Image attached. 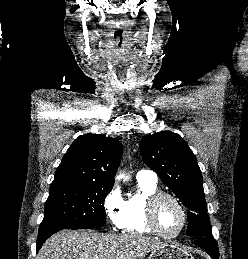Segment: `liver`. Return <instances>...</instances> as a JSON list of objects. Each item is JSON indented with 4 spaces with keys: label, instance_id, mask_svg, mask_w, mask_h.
I'll list each match as a JSON object with an SVG mask.
<instances>
[{
    "label": "liver",
    "instance_id": "liver-1",
    "mask_svg": "<svg viewBox=\"0 0 248 259\" xmlns=\"http://www.w3.org/2000/svg\"><path fill=\"white\" fill-rule=\"evenodd\" d=\"M165 245L138 233L62 230L43 244L37 259H143Z\"/></svg>",
    "mask_w": 248,
    "mask_h": 259
}]
</instances>
